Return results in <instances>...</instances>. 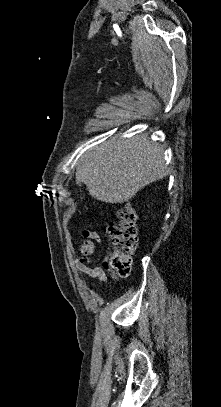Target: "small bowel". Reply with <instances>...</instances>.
Instances as JSON below:
<instances>
[{"mask_svg": "<svg viewBox=\"0 0 221 407\" xmlns=\"http://www.w3.org/2000/svg\"><path fill=\"white\" fill-rule=\"evenodd\" d=\"M101 242L102 239L97 233L90 232L85 234V237L81 239V243L79 245L80 256L75 262V267L80 275L83 276L86 283L89 282L88 277H93L97 278L101 285L107 286V258L103 262L102 266H90L91 256L95 251V243L100 244Z\"/></svg>", "mask_w": 221, "mask_h": 407, "instance_id": "1", "label": "small bowel"}]
</instances>
